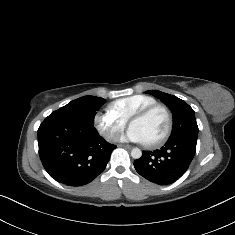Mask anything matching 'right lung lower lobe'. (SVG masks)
Instances as JSON below:
<instances>
[{
	"instance_id": "right-lung-lower-lobe-1",
	"label": "right lung lower lobe",
	"mask_w": 235,
	"mask_h": 235,
	"mask_svg": "<svg viewBox=\"0 0 235 235\" xmlns=\"http://www.w3.org/2000/svg\"><path fill=\"white\" fill-rule=\"evenodd\" d=\"M39 156L47 173L60 183L82 186L104 171L116 145L105 141L93 123L51 113L38 129Z\"/></svg>"
}]
</instances>
